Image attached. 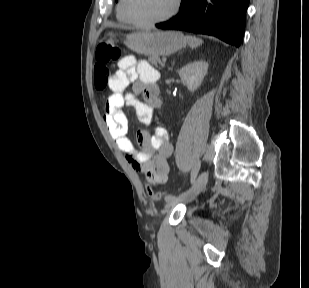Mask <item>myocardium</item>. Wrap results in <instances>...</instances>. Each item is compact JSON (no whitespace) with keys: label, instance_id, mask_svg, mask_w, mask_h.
<instances>
[{"label":"myocardium","instance_id":"f54148a6","mask_svg":"<svg viewBox=\"0 0 309 288\" xmlns=\"http://www.w3.org/2000/svg\"><path fill=\"white\" fill-rule=\"evenodd\" d=\"M182 0H174L172 9L164 16L151 21H138L128 11V0H122V14L125 20L137 28H148L164 23L173 18L180 10Z\"/></svg>","mask_w":309,"mask_h":288}]
</instances>
